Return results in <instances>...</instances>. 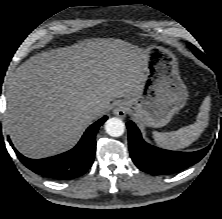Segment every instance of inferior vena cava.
Here are the masks:
<instances>
[{
  "label": "inferior vena cava",
  "mask_w": 222,
  "mask_h": 219,
  "mask_svg": "<svg viewBox=\"0 0 222 219\" xmlns=\"http://www.w3.org/2000/svg\"><path fill=\"white\" fill-rule=\"evenodd\" d=\"M92 113H94V114H102L103 111H102L101 108H95L94 110H92Z\"/></svg>",
  "instance_id": "inferior-vena-cava-1"
}]
</instances>
